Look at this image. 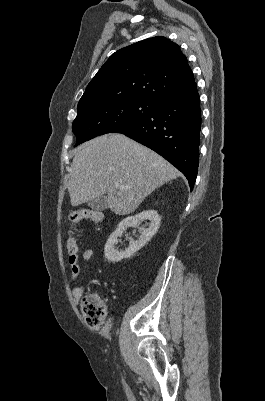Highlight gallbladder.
Returning a JSON list of instances; mask_svg holds the SVG:
<instances>
[{"label":"gallbladder","mask_w":265,"mask_h":401,"mask_svg":"<svg viewBox=\"0 0 265 401\" xmlns=\"http://www.w3.org/2000/svg\"><path fill=\"white\" fill-rule=\"evenodd\" d=\"M87 205L91 207L93 211H96V213L105 211V209H108L107 196H98V198H94V201H88Z\"/></svg>","instance_id":"obj_1"}]
</instances>
